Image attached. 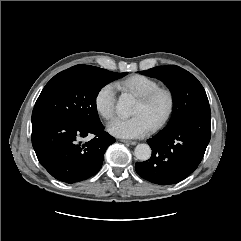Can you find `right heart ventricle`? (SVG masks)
Here are the masks:
<instances>
[{"label": "right heart ventricle", "instance_id": "e07e8e85", "mask_svg": "<svg viewBox=\"0 0 241 241\" xmlns=\"http://www.w3.org/2000/svg\"><path fill=\"white\" fill-rule=\"evenodd\" d=\"M115 86L123 93H129L138 98L158 88L159 83L151 77L136 74L117 81Z\"/></svg>", "mask_w": 241, "mask_h": 241}]
</instances>
